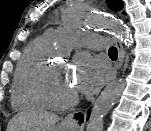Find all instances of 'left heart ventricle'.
<instances>
[{"instance_id":"left-heart-ventricle-1","label":"left heart ventricle","mask_w":151,"mask_h":131,"mask_svg":"<svg viewBox=\"0 0 151 131\" xmlns=\"http://www.w3.org/2000/svg\"><path fill=\"white\" fill-rule=\"evenodd\" d=\"M66 71L64 64L53 65V73L49 78L47 90L50 97L55 100H62L76 94L73 83H70Z\"/></svg>"}]
</instances>
